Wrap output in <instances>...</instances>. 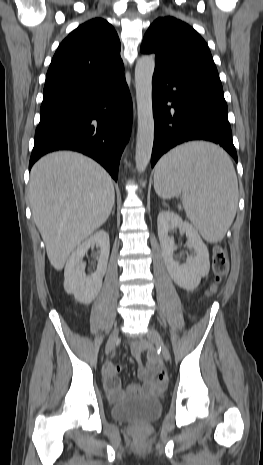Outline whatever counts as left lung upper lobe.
I'll list each match as a JSON object with an SVG mask.
<instances>
[{"mask_svg": "<svg viewBox=\"0 0 263 465\" xmlns=\"http://www.w3.org/2000/svg\"><path fill=\"white\" fill-rule=\"evenodd\" d=\"M141 52L156 54V65L179 71L219 75L208 45L188 24L174 17L156 19L147 30Z\"/></svg>", "mask_w": 263, "mask_h": 465, "instance_id": "5c2ea615", "label": "left lung upper lobe"}]
</instances>
